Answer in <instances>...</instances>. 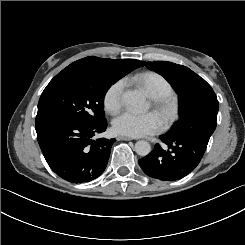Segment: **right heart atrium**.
<instances>
[{"mask_svg":"<svg viewBox=\"0 0 245 245\" xmlns=\"http://www.w3.org/2000/svg\"><path fill=\"white\" fill-rule=\"evenodd\" d=\"M124 83L118 80L111 84L104 96V106L109 112H116L122 106Z\"/></svg>","mask_w":245,"mask_h":245,"instance_id":"d8ad5b80","label":"right heart atrium"}]
</instances>
